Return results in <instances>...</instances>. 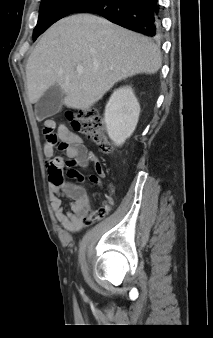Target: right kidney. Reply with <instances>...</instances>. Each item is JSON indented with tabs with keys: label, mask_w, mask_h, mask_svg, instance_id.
<instances>
[{
	"label": "right kidney",
	"mask_w": 213,
	"mask_h": 338,
	"mask_svg": "<svg viewBox=\"0 0 213 338\" xmlns=\"http://www.w3.org/2000/svg\"><path fill=\"white\" fill-rule=\"evenodd\" d=\"M140 105L129 86L117 89L111 95L104 113L109 138L122 145L134 132L138 123Z\"/></svg>",
	"instance_id": "ca27d5eb"
}]
</instances>
